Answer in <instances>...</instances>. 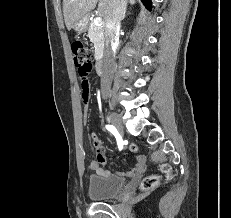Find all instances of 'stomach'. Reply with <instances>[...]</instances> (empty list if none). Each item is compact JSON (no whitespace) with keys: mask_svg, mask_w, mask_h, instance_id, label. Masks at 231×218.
<instances>
[{"mask_svg":"<svg viewBox=\"0 0 231 218\" xmlns=\"http://www.w3.org/2000/svg\"><path fill=\"white\" fill-rule=\"evenodd\" d=\"M86 26H87V19L83 18L78 20L74 25H73V29L77 32V33H83L86 30Z\"/></svg>","mask_w":231,"mask_h":218,"instance_id":"0dacf381","label":"stomach"}]
</instances>
